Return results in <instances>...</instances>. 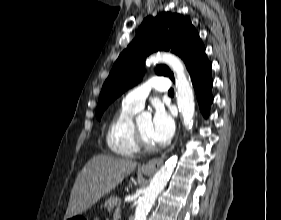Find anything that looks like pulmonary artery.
Returning <instances> with one entry per match:
<instances>
[{
    "instance_id": "e3ab8cb5",
    "label": "pulmonary artery",
    "mask_w": 281,
    "mask_h": 220,
    "mask_svg": "<svg viewBox=\"0 0 281 220\" xmlns=\"http://www.w3.org/2000/svg\"><path fill=\"white\" fill-rule=\"evenodd\" d=\"M169 88L170 80L168 78L155 76L129 91L124 96L123 102L137 110H141L152 89H156L158 91H168Z\"/></svg>"
}]
</instances>
